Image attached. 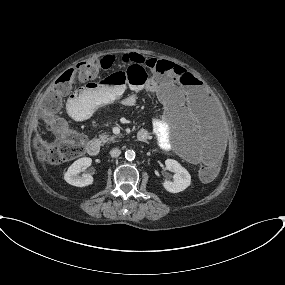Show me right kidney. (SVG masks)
Returning a JSON list of instances; mask_svg holds the SVG:
<instances>
[{
  "label": "right kidney",
  "mask_w": 285,
  "mask_h": 285,
  "mask_svg": "<svg viewBox=\"0 0 285 285\" xmlns=\"http://www.w3.org/2000/svg\"><path fill=\"white\" fill-rule=\"evenodd\" d=\"M92 163V159L89 157H83L76 160L64 175V179L70 185L76 187H85L91 185L93 183V177L88 173H83L81 176L79 175L81 172V168H88Z\"/></svg>",
  "instance_id": "right-kidney-1"
}]
</instances>
